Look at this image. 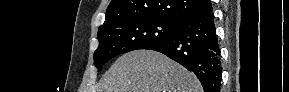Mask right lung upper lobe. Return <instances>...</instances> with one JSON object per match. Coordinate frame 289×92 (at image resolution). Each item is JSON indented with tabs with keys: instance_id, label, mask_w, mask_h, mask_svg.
<instances>
[{
	"instance_id": "right-lung-upper-lobe-1",
	"label": "right lung upper lobe",
	"mask_w": 289,
	"mask_h": 92,
	"mask_svg": "<svg viewBox=\"0 0 289 92\" xmlns=\"http://www.w3.org/2000/svg\"><path fill=\"white\" fill-rule=\"evenodd\" d=\"M212 9L210 0H112L106 10L102 29L114 23L147 17H158L174 22Z\"/></svg>"
}]
</instances>
